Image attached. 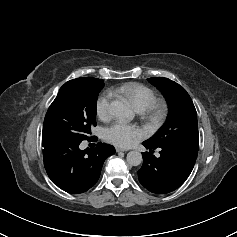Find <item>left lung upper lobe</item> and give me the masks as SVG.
I'll use <instances>...</instances> for the list:
<instances>
[{"label":"left lung upper lobe","mask_w":237,"mask_h":237,"mask_svg":"<svg viewBox=\"0 0 237 237\" xmlns=\"http://www.w3.org/2000/svg\"><path fill=\"white\" fill-rule=\"evenodd\" d=\"M148 81L164 94L169 114L166 123L145 142L153 147H198L197 112L186 90L167 78H148Z\"/></svg>","instance_id":"1"}]
</instances>
